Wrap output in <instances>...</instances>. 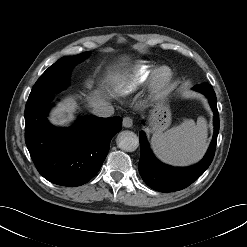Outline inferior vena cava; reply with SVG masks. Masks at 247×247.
Returning <instances> with one entry per match:
<instances>
[{
  "mask_svg": "<svg viewBox=\"0 0 247 247\" xmlns=\"http://www.w3.org/2000/svg\"><path fill=\"white\" fill-rule=\"evenodd\" d=\"M93 113L98 117L106 118V117H110L114 113V108L113 106H108V105L99 106L93 110Z\"/></svg>",
  "mask_w": 247,
  "mask_h": 247,
  "instance_id": "obj_1",
  "label": "inferior vena cava"
}]
</instances>
